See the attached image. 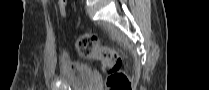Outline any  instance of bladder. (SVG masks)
Segmentation results:
<instances>
[{"label":"bladder","instance_id":"1","mask_svg":"<svg viewBox=\"0 0 209 90\" xmlns=\"http://www.w3.org/2000/svg\"><path fill=\"white\" fill-rule=\"evenodd\" d=\"M59 77L72 87L81 90L95 87L91 68L84 63L74 62L65 55L59 58Z\"/></svg>","mask_w":209,"mask_h":90}]
</instances>
